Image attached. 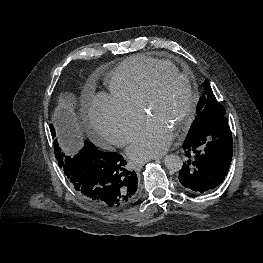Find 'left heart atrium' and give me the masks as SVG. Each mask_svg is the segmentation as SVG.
Instances as JSON below:
<instances>
[{"mask_svg":"<svg viewBox=\"0 0 263 263\" xmlns=\"http://www.w3.org/2000/svg\"><path fill=\"white\" fill-rule=\"evenodd\" d=\"M173 139V132L161 121L147 117L133 135L128 154L142 161L164 153Z\"/></svg>","mask_w":263,"mask_h":263,"instance_id":"1","label":"left heart atrium"}]
</instances>
